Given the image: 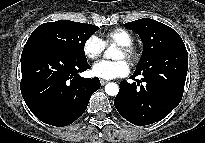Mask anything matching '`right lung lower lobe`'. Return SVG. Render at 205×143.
<instances>
[{
    "instance_id": "obj_1",
    "label": "right lung lower lobe",
    "mask_w": 205,
    "mask_h": 143,
    "mask_svg": "<svg viewBox=\"0 0 205 143\" xmlns=\"http://www.w3.org/2000/svg\"><path fill=\"white\" fill-rule=\"evenodd\" d=\"M89 68L87 61H79L50 43L28 39L21 55L20 88L30 111L49 125L73 123L100 88L97 77L79 76Z\"/></svg>"
}]
</instances>
